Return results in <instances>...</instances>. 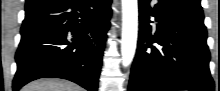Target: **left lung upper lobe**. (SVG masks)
I'll return each mask as SVG.
<instances>
[{
  "mask_svg": "<svg viewBox=\"0 0 220 91\" xmlns=\"http://www.w3.org/2000/svg\"><path fill=\"white\" fill-rule=\"evenodd\" d=\"M182 1L192 4L196 7L202 8L200 4V0H182Z\"/></svg>",
  "mask_w": 220,
  "mask_h": 91,
  "instance_id": "5c2ea615",
  "label": "left lung upper lobe"
}]
</instances>
